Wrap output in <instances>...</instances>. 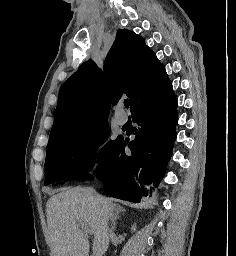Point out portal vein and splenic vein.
Returning <instances> with one entry per match:
<instances>
[{"instance_id":"1","label":"portal vein and splenic vein","mask_w":236,"mask_h":256,"mask_svg":"<svg viewBox=\"0 0 236 256\" xmlns=\"http://www.w3.org/2000/svg\"><path fill=\"white\" fill-rule=\"evenodd\" d=\"M78 222V226H80V228H83L84 232L83 234H90L89 230V226H87V224H84V222H82V220H77Z\"/></svg>"}]
</instances>
